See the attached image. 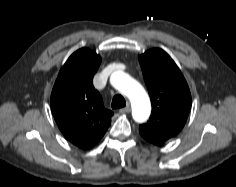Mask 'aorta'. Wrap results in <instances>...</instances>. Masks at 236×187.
Wrapping results in <instances>:
<instances>
[{
    "instance_id": "1",
    "label": "aorta",
    "mask_w": 236,
    "mask_h": 187,
    "mask_svg": "<svg viewBox=\"0 0 236 187\" xmlns=\"http://www.w3.org/2000/svg\"><path fill=\"white\" fill-rule=\"evenodd\" d=\"M110 81L114 88L130 100L134 120L137 122L147 120L151 112V104L142 85L120 71L114 72Z\"/></svg>"
}]
</instances>
